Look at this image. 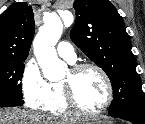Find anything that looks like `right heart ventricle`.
<instances>
[{"mask_svg":"<svg viewBox=\"0 0 145 124\" xmlns=\"http://www.w3.org/2000/svg\"><path fill=\"white\" fill-rule=\"evenodd\" d=\"M39 109L54 116H65L70 113L60 82L49 83V99Z\"/></svg>","mask_w":145,"mask_h":124,"instance_id":"right-heart-ventricle-1","label":"right heart ventricle"}]
</instances>
